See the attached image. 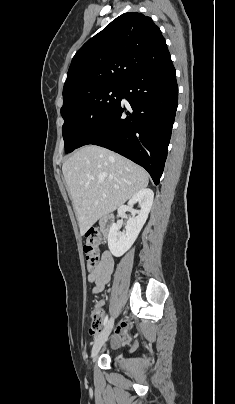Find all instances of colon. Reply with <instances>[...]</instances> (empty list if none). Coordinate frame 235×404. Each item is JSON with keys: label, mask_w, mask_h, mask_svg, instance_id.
<instances>
[{"label": "colon", "mask_w": 235, "mask_h": 404, "mask_svg": "<svg viewBox=\"0 0 235 404\" xmlns=\"http://www.w3.org/2000/svg\"><path fill=\"white\" fill-rule=\"evenodd\" d=\"M102 241V235L97 229H89L86 232V241L83 247L86 264L89 269H94L99 262L98 246ZM91 327L96 329L102 320V310L100 306H95L91 312Z\"/></svg>", "instance_id": "obj_1"}]
</instances>
